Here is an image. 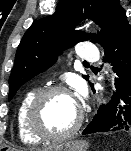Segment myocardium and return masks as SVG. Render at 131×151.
<instances>
[{
    "instance_id": "f54148a6",
    "label": "myocardium",
    "mask_w": 131,
    "mask_h": 151,
    "mask_svg": "<svg viewBox=\"0 0 131 151\" xmlns=\"http://www.w3.org/2000/svg\"><path fill=\"white\" fill-rule=\"evenodd\" d=\"M62 93L74 99L73 93L63 85H52L38 91L32 99L27 111V126L29 131L40 140L62 141L73 136L81 127L84 120V112L78 104V116L74 124L66 131L53 134L45 131L40 123L41 109L45 100L51 95Z\"/></svg>"
}]
</instances>
